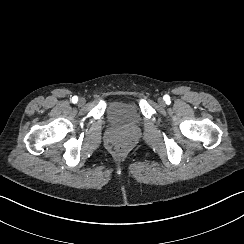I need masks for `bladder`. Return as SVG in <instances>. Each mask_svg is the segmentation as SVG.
I'll use <instances>...</instances> for the list:
<instances>
[{
    "label": "bladder",
    "instance_id": "31cf9c89",
    "mask_svg": "<svg viewBox=\"0 0 244 244\" xmlns=\"http://www.w3.org/2000/svg\"><path fill=\"white\" fill-rule=\"evenodd\" d=\"M104 114L111 126L116 128H130L142 121L140 108L130 100H120L107 103Z\"/></svg>",
    "mask_w": 244,
    "mask_h": 244
}]
</instances>
